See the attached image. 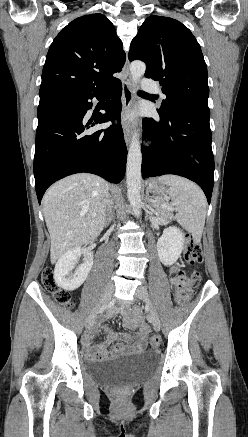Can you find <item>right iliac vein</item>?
Listing matches in <instances>:
<instances>
[{"label":"right iliac vein","instance_id":"right-iliac-vein-1","mask_svg":"<svg viewBox=\"0 0 248 437\" xmlns=\"http://www.w3.org/2000/svg\"><path fill=\"white\" fill-rule=\"evenodd\" d=\"M114 290V284L113 282H108L105 286V289L103 291V294L100 298L99 304L97 308L89 315L87 321H86V328L91 329L96 321V315L100 309V307L104 306L110 299L111 294Z\"/></svg>","mask_w":248,"mask_h":437}]
</instances>
